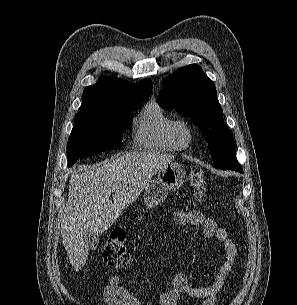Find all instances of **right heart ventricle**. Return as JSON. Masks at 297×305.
Returning <instances> with one entry per match:
<instances>
[{
    "instance_id": "obj_1",
    "label": "right heart ventricle",
    "mask_w": 297,
    "mask_h": 305,
    "mask_svg": "<svg viewBox=\"0 0 297 305\" xmlns=\"http://www.w3.org/2000/svg\"><path fill=\"white\" fill-rule=\"evenodd\" d=\"M175 119L158 103L150 102L140 113L134 141L138 148L145 150L177 151L171 135Z\"/></svg>"
}]
</instances>
